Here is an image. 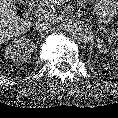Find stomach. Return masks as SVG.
I'll return each instance as SVG.
<instances>
[{
  "instance_id": "obj_1",
  "label": "stomach",
  "mask_w": 118,
  "mask_h": 118,
  "mask_svg": "<svg viewBox=\"0 0 118 118\" xmlns=\"http://www.w3.org/2000/svg\"><path fill=\"white\" fill-rule=\"evenodd\" d=\"M118 0H95V12L97 21L101 23H111L116 15Z\"/></svg>"
}]
</instances>
